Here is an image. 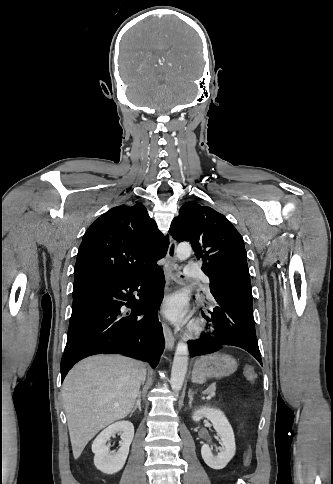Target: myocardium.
Masks as SVG:
<instances>
[{
	"label": "myocardium",
	"instance_id": "myocardium-1",
	"mask_svg": "<svg viewBox=\"0 0 333 484\" xmlns=\"http://www.w3.org/2000/svg\"><path fill=\"white\" fill-rule=\"evenodd\" d=\"M204 331V324L201 321H196L191 325L190 336L197 337Z\"/></svg>",
	"mask_w": 333,
	"mask_h": 484
}]
</instances>
